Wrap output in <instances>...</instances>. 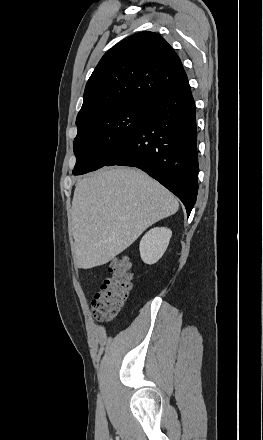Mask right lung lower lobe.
<instances>
[{"instance_id":"98d812e1","label":"right lung lower lobe","mask_w":263,"mask_h":440,"mask_svg":"<svg viewBox=\"0 0 263 440\" xmlns=\"http://www.w3.org/2000/svg\"><path fill=\"white\" fill-rule=\"evenodd\" d=\"M111 165L145 171L183 202L189 216L198 192V152L188 80L148 103L146 118L105 164Z\"/></svg>"}]
</instances>
